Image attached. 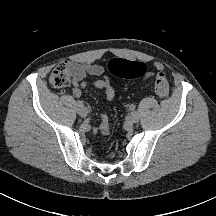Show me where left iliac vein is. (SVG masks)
<instances>
[{"label": "left iliac vein", "mask_w": 216, "mask_h": 216, "mask_svg": "<svg viewBox=\"0 0 216 216\" xmlns=\"http://www.w3.org/2000/svg\"><path fill=\"white\" fill-rule=\"evenodd\" d=\"M139 113L138 112H136V111H133L131 114H130V121L132 122V123H137V122H139Z\"/></svg>", "instance_id": "1"}]
</instances>
